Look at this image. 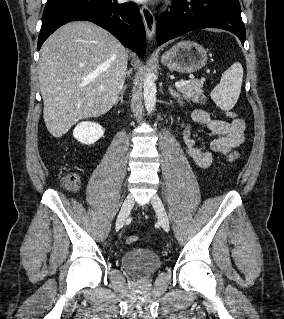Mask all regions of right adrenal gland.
<instances>
[{"instance_id": "1", "label": "right adrenal gland", "mask_w": 284, "mask_h": 319, "mask_svg": "<svg viewBox=\"0 0 284 319\" xmlns=\"http://www.w3.org/2000/svg\"><path fill=\"white\" fill-rule=\"evenodd\" d=\"M126 88H127V86L125 85V86L123 87V89L121 90L120 95H119V97H118L116 103H118L119 101H120L121 103H123V95H124V92H125Z\"/></svg>"}]
</instances>
